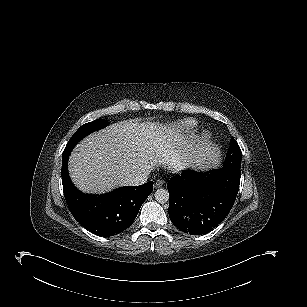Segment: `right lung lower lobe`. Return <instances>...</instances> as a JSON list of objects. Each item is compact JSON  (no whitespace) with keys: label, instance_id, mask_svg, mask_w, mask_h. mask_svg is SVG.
Wrapping results in <instances>:
<instances>
[{"label":"right lung lower lobe","instance_id":"right-lung-lower-lobe-1","mask_svg":"<svg viewBox=\"0 0 307 307\" xmlns=\"http://www.w3.org/2000/svg\"><path fill=\"white\" fill-rule=\"evenodd\" d=\"M72 149L65 148L62 155V184L71 213L82 226L99 236L109 237L123 232L133 224L141 205L153 191V182L121 187L98 196L82 193L68 174V157Z\"/></svg>","mask_w":307,"mask_h":307}]
</instances>
